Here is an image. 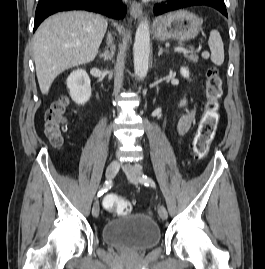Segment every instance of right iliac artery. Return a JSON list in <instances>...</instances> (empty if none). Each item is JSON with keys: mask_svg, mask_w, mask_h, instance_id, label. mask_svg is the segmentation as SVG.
Returning <instances> with one entry per match:
<instances>
[{"mask_svg": "<svg viewBox=\"0 0 265 269\" xmlns=\"http://www.w3.org/2000/svg\"><path fill=\"white\" fill-rule=\"evenodd\" d=\"M112 185H113V181H112L111 179L105 181V184H104L103 187L99 190L97 196L100 197L101 195H103L105 192H107L109 189H111Z\"/></svg>", "mask_w": 265, "mask_h": 269, "instance_id": "right-iliac-artery-1", "label": "right iliac artery"}]
</instances>
